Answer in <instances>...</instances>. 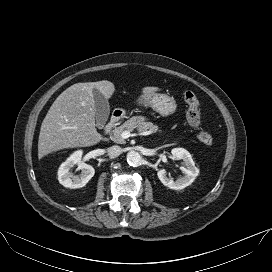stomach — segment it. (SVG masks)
Returning a JSON list of instances; mask_svg holds the SVG:
<instances>
[{"label":"stomach","instance_id":"0dacf381","mask_svg":"<svg viewBox=\"0 0 272 272\" xmlns=\"http://www.w3.org/2000/svg\"><path fill=\"white\" fill-rule=\"evenodd\" d=\"M138 103L144 107H151L162 116L173 114L177 108L173 97L158 93L141 94Z\"/></svg>","mask_w":272,"mask_h":272}]
</instances>
